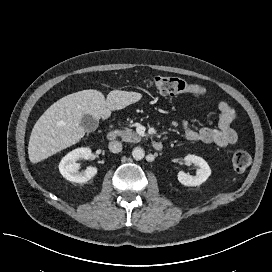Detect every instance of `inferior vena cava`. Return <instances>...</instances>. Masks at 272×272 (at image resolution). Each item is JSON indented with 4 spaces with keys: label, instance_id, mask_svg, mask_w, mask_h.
<instances>
[{
    "label": "inferior vena cava",
    "instance_id": "inferior-vena-cava-1",
    "mask_svg": "<svg viewBox=\"0 0 272 272\" xmlns=\"http://www.w3.org/2000/svg\"><path fill=\"white\" fill-rule=\"evenodd\" d=\"M109 150L112 153H119L122 150V144L118 141H111L109 142Z\"/></svg>",
    "mask_w": 272,
    "mask_h": 272
}]
</instances>
